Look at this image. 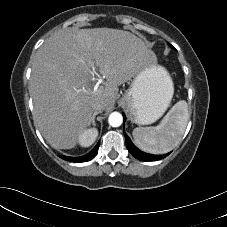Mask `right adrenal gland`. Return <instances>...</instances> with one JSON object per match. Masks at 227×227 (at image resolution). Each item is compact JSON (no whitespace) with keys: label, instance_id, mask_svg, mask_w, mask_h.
Returning <instances> with one entry per match:
<instances>
[{"label":"right adrenal gland","instance_id":"obj_1","mask_svg":"<svg viewBox=\"0 0 227 227\" xmlns=\"http://www.w3.org/2000/svg\"><path fill=\"white\" fill-rule=\"evenodd\" d=\"M99 113H101V111H96V112H94V114H93V118H92V125L95 127L96 126V123H95V117H96V115L97 114H99Z\"/></svg>","mask_w":227,"mask_h":227}]
</instances>
